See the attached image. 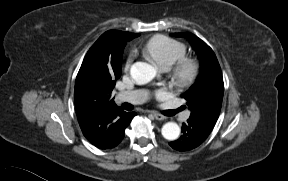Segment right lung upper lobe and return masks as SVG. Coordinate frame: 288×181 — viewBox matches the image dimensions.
Instances as JSON below:
<instances>
[{"label": "right lung upper lobe", "instance_id": "right-lung-upper-lobe-1", "mask_svg": "<svg viewBox=\"0 0 288 181\" xmlns=\"http://www.w3.org/2000/svg\"><path fill=\"white\" fill-rule=\"evenodd\" d=\"M139 34L110 30L87 52L75 81V105L84 136L100 149L112 148L118 140L123 113L111 93L121 76V53L127 41ZM121 57V58H120Z\"/></svg>", "mask_w": 288, "mask_h": 181}]
</instances>
